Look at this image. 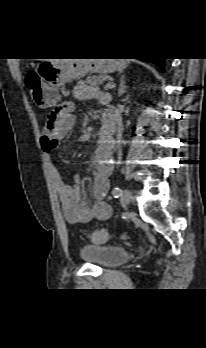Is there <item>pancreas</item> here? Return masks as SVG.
<instances>
[{"mask_svg": "<svg viewBox=\"0 0 206 348\" xmlns=\"http://www.w3.org/2000/svg\"><path fill=\"white\" fill-rule=\"evenodd\" d=\"M107 78L106 75H91L82 81L83 84H88L91 87L98 88L104 80Z\"/></svg>", "mask_w": 206, "mask_h": 348, "instance_id": "pancreas-1", "label": "pancreas"}]
</instances>
